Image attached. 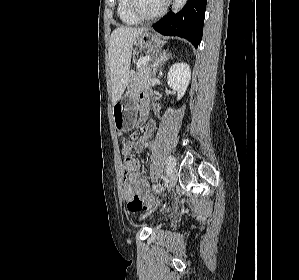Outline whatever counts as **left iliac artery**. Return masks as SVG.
I'll list each match as a JSON object with an SVG mask.
<instances>
[{
	"label": "left iliac artery",
	"instance_id": "left-iliac-artery-1",
	"mask_svg": "<svg viewBox=\"0 0 299 280\" xmlns=\"http://www.w3.org/2000/svg\"><path fill=\"white\" fill-rule=\"evenodd\" d=\"M166 164H167V171H172L173 168L175 167L176 165V161H175V158L173 156H169L167 161H166Z\"/></svg>",
	"mask_w": 299,
	"mask_h": 280
}]
</instances>
